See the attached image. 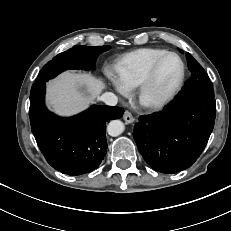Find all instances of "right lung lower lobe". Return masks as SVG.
I'll list each match as a JSON object with an SVG mask.
<instances>
[{
	"label": "right lung lower lobe",
	"instance_id": "98d812e1",
	"mask_svg": "<svg viewBox=\"0 0 231 231\" xmlns=\"http://www.w3.org/2000/svg\"><path fill=\"white\" fill-rule=\"evenodd\" d=\"M45 81H36L30 93L31 130L47 162L68 175L97 168L107 153L106 123L119 119L124 109L93 105L69 118L58 117L44 103Z\"/></svg>",
	"mask_w": 231,
	"mask_h": 231
}]
</instances>
